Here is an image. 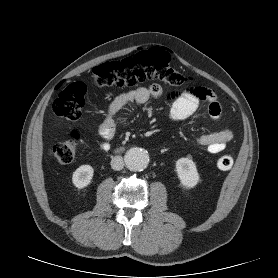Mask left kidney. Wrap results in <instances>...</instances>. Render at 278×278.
Returning <instances> with one entry per match:
<instances>
[{"label":"left kidney","instance_id":"1","mask_svg":"<svg viewBox=\"0 0 278 278\" xmlns=\"http://www.w3.org/2000/svg\"><path fill=\"white\" fill-rule=\"evenodd\" d=\"M176 172L181 184L186 188H193L199 182L196 165L189 158H180L176 161Z\"/></svg>","mask_w":278,"mask_h":278}]
</instances>
